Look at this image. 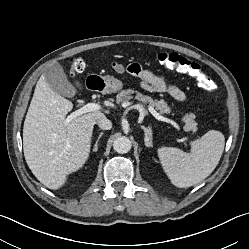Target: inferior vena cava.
Masks as SVG:
<instances>
[{
  "mask_svg": "<svg viewBox=\"0 0 249 249\" xmlns=\"http://www.w3.org/2000/svg\"><path fill=\"white\" fill-rule=\"evenodd\" d=\"M96 123L102 130H110L112 128L111 121L108 120L105 116L99 118Z\"/></svg>",
  "mask_w": 249,
  "mask_h": 249,
  "instance_id": "obj_1",
  "label": "inferior vena cava"
}]
</instances>
